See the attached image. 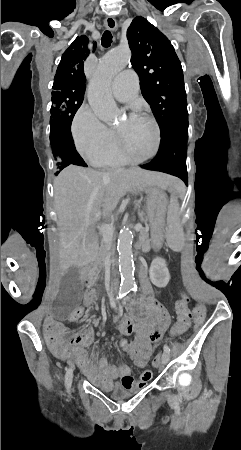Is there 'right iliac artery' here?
<instances>
[{
  "mask_svg": "<svg viewBox=\"0 0 241 450\" xmlns=\"http://www.w3.org/2000/svg\"><path fill=\"white\" fill-rule=\"evenodd\" d=\"M131 290L130 287H126L122 290L119 291V295L117 296V299H121L122 297H124L127 293H129Z\"/></svg>",
  "mask_w": 241,
  "mask_h": 450,
  "instance_id": "1",
  "label": "right iliac artery"
}]
</instances>
